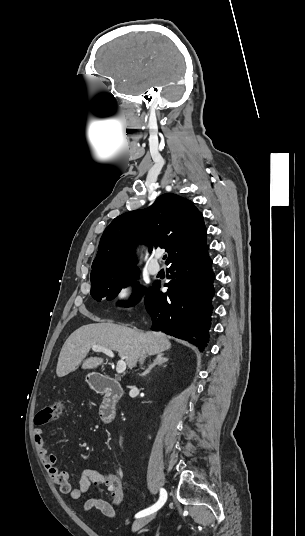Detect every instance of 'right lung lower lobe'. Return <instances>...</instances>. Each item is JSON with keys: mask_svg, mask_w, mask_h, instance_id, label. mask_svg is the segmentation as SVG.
<instances>
[{"mask_svg": "<svg viewBox=\"0 0 305 536\" xmlns=\"http://www.w3.org/2000/svg\"><path fill=\"white\" fill-rule=\"evenodd\" d=\"M212 261L208 246L170 263L171 281L160 291L154 283L146 292L144 303L153 321V330L163 332L199 347L207 346L211 325V301L215 293Z\"/></svg>", "mask_w": 305, "mask_h": 536, "instance_id": "obj_1", "label": "right lung lower lobe"}]
</instances>
